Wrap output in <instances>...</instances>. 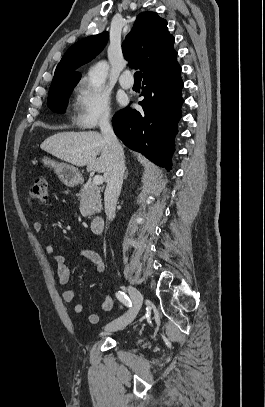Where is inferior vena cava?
<instances>
[{
  "label": "inferior vena cava",
  "instance_id": "inferior-vena-cava-1",
  "mask_svg": "<svg viewBox=\"0 0 265 407\" xmlns=\"http://www.w3.org/2000/svg\"><path fill=\"white\" fill-rule=\"evenodd\" d=\"M100 129L105 142L113 153L112 171L107 179L104 193L105 213L107 219L112 221L115 217L116 203L123 183L125 171L124 152L110 124L109 115L103 117Z\"/></svg>",
  "mask_w": 265,
  "mask_h": 407
}]
</instances>
